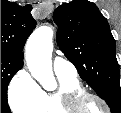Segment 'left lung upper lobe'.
Returning a JSON list of instances; mask_svg holds the SVG:
<instances>
[{"mask_svg":"<svg viewBox=\"0 0 121 113\" xmlns=\"http://www.w3.org/2000/svg\"><path fill=\"white\" fill-rule=\"evenodd\" d=\"M57 44L84 79L109 105L121 111L119 65L115 40L106 18L87 0L62 4L53 14Z\"/></svg>","mask_w":121,"mask_h":113,"instance_id":"obj_1","label":"left lung upper lobe"}]
</instances>
